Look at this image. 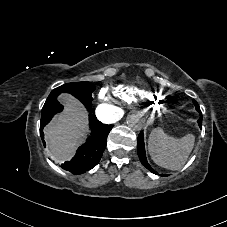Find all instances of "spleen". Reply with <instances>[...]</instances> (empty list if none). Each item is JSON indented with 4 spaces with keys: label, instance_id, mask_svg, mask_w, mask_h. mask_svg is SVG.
<instances>
[{
    "label": "spleen",
    "instance_id": "1",
    "mask_svg": "<svg viewBox=\"0 0 227 227\" xmlns=\"http://www.w3.org/2000/svg\"><path fill=\"white\" fill-rule=\"evenodd\" d=\"M194 142L195 136L193 134L176 139L165 134L163 129L155 128L148 139V151L158 166L169 170H178L187 161L194 147Z\"/></svg>",
    "mask_w": 227,
    "mask_h": 227
}]
</instances>
